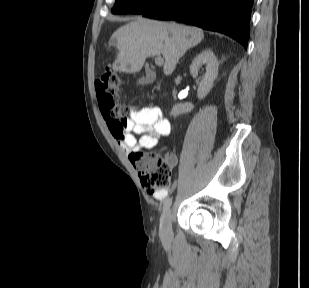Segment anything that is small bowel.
<instances>
[{"label": "small bowel", "instance_id": "obj_1", "mask_svg": "<svg viewBox=\"0 0 309 288\" xmlns=\"http://www.w3.org/2000/svg\"><path fill=\"white\" fill-rule=\"evenodd\" d=\"M111 135L118 141L120 147L131 155L141 148L156 147L162 137L168 136L171 131V122L163 117L162 110L155 105H148L140 111L133 112L125 122L106 120ZM137 137L139 138L137 140ZM167 158L172 166H176L177 157L169 153ZM167 192L154 194V199L161 201Z\"/></svg>", "mask_w": 309, "mask_h": 288}]
</instances>
